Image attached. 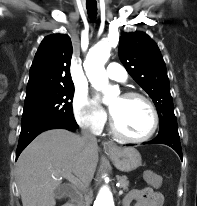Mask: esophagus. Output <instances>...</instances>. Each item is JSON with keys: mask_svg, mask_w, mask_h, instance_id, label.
Masks as SVG:
<instances>
[{"mask_svg": "<svg viewBox=\"0 0 197 206\" xmlns=\"http://www.w3.org/2000/svg\"><path fill=\"white\" fill-rule=\"evenodd\" d=\"M102 146L104 151L107 153H112L117 149V145L112 142H103Z\"/></svg>", "mask_w": 197, "mask_h": 206, "instance_id": "34e87169", "label": "esophagus"}]
</instances>
